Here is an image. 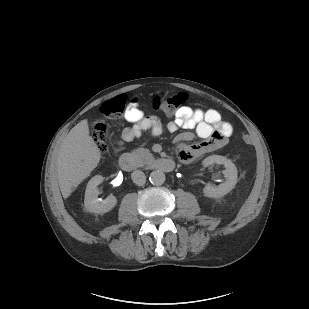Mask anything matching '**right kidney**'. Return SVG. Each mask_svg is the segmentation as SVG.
<instances>
[{
    "mask_svg": "<svg viewBox=\"0 0 309 309\" xmlns=\"http://www.w3.org/2000/svg\"><path fill=\"white\" fill-rule=\"evenodd\" d=\"M104 178L101 175H96L88 182L85 191L84 206L87 211L104 214L112 210L116 204L117 199L114 195L108 196L105 200L98 198L97 186L103 182Z\"/></svg>",
    "mask_w": 309,
    "mask_h": 309,
    "instance_id": "1",
    "label": "right kidney"
}]
</instances>
